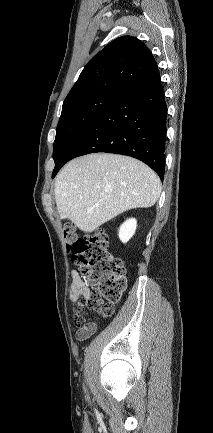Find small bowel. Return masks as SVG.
<instances>
[{
	"label": "small bowel",
	"mask_w": 213,
	"mask_h": 433,
	"mask_svg": "<svg viewBox=\"0 0 213 433\" xmlns=\"http://www.w3.org/2000/svg\"><path fill=\"white\" fill-rule=\"evenodd\" d=\"M70 276L71 283L68 287L69 299L75 303L78 308L82 301L91 298V292L76 270H72ZM95 330L96 324L94 322L87 328L78 329L77 339L80 341L86 340L95 332Z\"/></svg>",
	"instance_id": "small-bowel-1"
}]
</instances>
